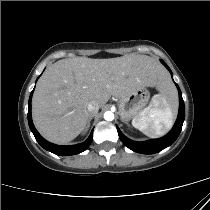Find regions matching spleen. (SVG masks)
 <instances>
[{
  "label": "spleen",
  "instance_id": "1",
  "mask_svg": "<svg viewBox=\"0 0 210 210\" xmlns=\"http://www.w3.org/2000/svg\"><path fill=\"white\" fill-rule=\"evenodd\" d=\"M174 94L173 85L169 81L164 91L154 95L149 106L132 120L133 127L151 138L164 135L173 125Z\"/></svg>",
  "mask_w": 210,
  "mask_h": 210
}]
</instances>
